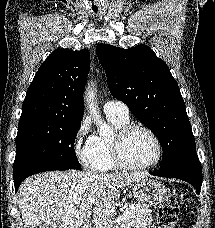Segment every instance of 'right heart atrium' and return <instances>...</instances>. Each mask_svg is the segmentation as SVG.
Segmentation results:
<instances>
[{
	"mask_svg": "<svg viewBox=\"0 0 215 228\" xmlns=\"http://www.w3.org/2000/svg\"><path fill=\"white\" fill-rule=\"evenodd\" d=\"M90 127V120L87 117H84L74 131V151L76 158L80 163L88 162L87 144L89 139L86 138L90 131Z\"/></svg>",
	"mask_w": 215,
	"mask_h": 228,
	"instance_id": "d8ad5b80",
	"label": "right heart atrium"
}]
</instances>
